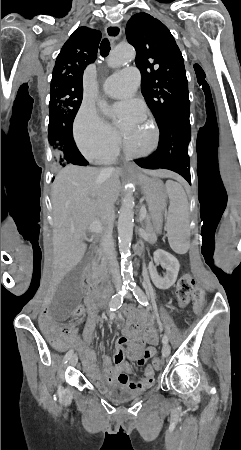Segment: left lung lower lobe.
Here are the masks:
<instances>
[{"instance_id":"left-lung-lower-lobe-1","label":"left lung lower lobe","mask_w":241,"mask_h":450,"mask_svg":"<svg viewBox=\"0 0 241 450\" xmlns=\"http://www.w3.org/2000/svg\"><path fill=\"white\" fill-rule=\"evenodd\" d=\"M189 107H181L161 121L157 150L146 159L135 162L142 168L168 169L183 176L191 184L188 143L191 136Z\"/></svg>"}]
</instances>
